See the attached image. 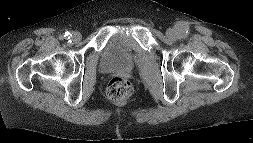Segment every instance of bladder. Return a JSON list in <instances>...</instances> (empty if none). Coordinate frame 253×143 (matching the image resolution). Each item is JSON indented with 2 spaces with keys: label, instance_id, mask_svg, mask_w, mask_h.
Masks as SVG:
<instances>
[{
  "label": "bladder",
  "instance_id": "1",
  "mask_svg": "<svg viewBox=\"0 0 253 143\" xmlns=\"http://www.w3.org/2000/svg\"><path fill=\"white\" fill-rule=\"evenodd\" d=\"M134 52L120 36L109 40L100 57V68L106 72L127 70L134 65Z\"/></svg>",
  "mask_w": 253,
  "mask_h": 143
}]
</instances>
